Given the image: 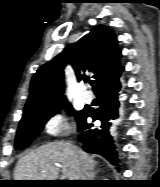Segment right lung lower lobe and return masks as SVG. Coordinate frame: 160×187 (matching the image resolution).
<instances>
[{
	"instance_id": "98d812e1",
	"label": "right lung lower lobe",
	"mask_w": 160,
	"mask_h": 187,
	"mask_svg": "<svg viewBox=\"0 0 160 187\" xmlns=\"http://www.w3.org/2000/svg\"><path fill=\"white\" fill-rule=\"evenodd\" d=\"M121 70H124L123 68ZM121 72L119 71L112 78L103 81L94 91L100 106L98 109L85 107L84 113L78 120V131L82 132L78 139L83 143L82 148L88 153L102 155L112 164H117L118 155L113 144V139L109 133L110 121L118 117V92L121 88L119 81ZM100 120L99 128L90 129L93 125H88L86 119ZM86 186V185H81ZM87 187V186H86Z\"/></svg>"
}]
</instances>
